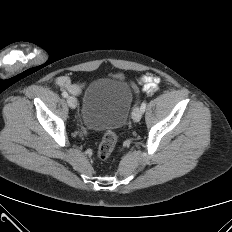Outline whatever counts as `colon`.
I'll return each instance as SVG.
<instances>
[{
    "mask_svg": "<svg viewBox=\"0 0 232 232\" xmlns=\"http://www.w3.org/2000/svg\"><path fill=\"white\" fill-rule=\"evenodd\" d=\"M117 136L114 132L108 131L102 138V141L98 147L97 155L100 159H107L114 150L116 145Z\"/></svg>",
    "mask_w": 232,
    "mask_h": 232,
    "instance_id": "5ec220e1",
    "label": "colon"
}]
</instances>
